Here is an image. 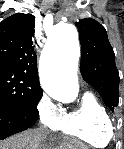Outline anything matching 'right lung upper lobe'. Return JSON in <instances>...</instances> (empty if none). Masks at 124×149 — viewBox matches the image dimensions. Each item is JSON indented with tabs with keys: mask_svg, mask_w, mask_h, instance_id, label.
<instances>
[{
	"mask_svg": "<svg viewBox=\"0 0 124 149\" xmlns=\"http://www.w3.org/2000/svg\"><path fill=\"white\" fill-rule=\"evenodd\" d=\"M34 27V17L23 13H16L0 23V67L23 73L40 86L32 45Z\"/></svg>",
	"mask_w": 124,
	"mask_h": 149,
	"instance_id": "right-lung-upper-lobe-1",
	"label": "right lung upper lobe"
}]
</instances>
